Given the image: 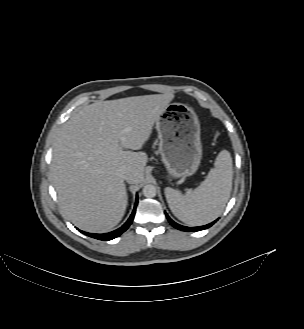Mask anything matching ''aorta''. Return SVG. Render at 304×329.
<instances>
[{"mask_svg": "<svg viewBox=\"0 0 304 329\" xmlns=\"http://www.w3.org/2000/svg\"><path fill=\"white\" fill-rule=\"evenodd\" d=\"M143 195L147 198H153L156 196V187L152 184L145 185L143 188Z\"/></svg>", "mask_w": 304, "mask_h": 329, "instance_id": "1", "label": "aorta"}]
</instances>
